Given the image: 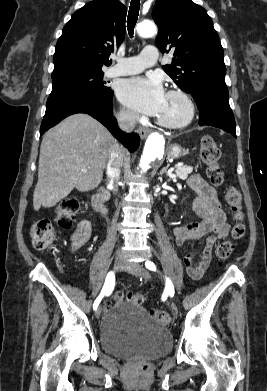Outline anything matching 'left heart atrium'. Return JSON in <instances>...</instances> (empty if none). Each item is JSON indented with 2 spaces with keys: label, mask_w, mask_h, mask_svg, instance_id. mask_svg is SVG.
I'll list each match as a JSON object with an SVG mask.
<instances>
[{
  "label": "left heart atrium",
  "mask_w": 267,
  "mask_h": 391,
  "mask_svg": "<svg viewBox=\"0 0 267 391\" xmlns=\"http://www.w3.org/2000/svg\"><path fill=\"white\" fill-rule=\"evenodd\" d=\"M120 101L136 112L159 116L166 93L162 82L155 76L133 77L120 83L117 90Z\"/></svg>",
  "instance_id": "left-heart-atrium-1"
}]
</instances>
